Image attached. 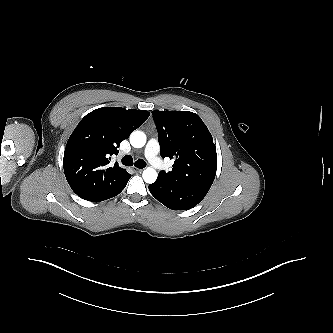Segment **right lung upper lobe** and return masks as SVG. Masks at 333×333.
<instances>
[{"mask_svg":"<svg viewBox=\"0 0 333 333\" xmlns=\"http://www.w3.org/2000/svg\"><path fill=\"white\" fill-rule=\"evenodd\" d=\"M150 113L104 107L87 114L67 142L63 168L72 190L81 198L100 202L116 196L131 175L111 156L118 154L121 141L140 127Z\"/></svg>","mask_w":333,"mask_h":333,"instance_id":"right-lung-upper-lobe-1","label":"right lung upper lobe"}]
</instances>
